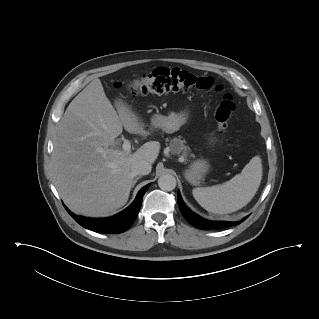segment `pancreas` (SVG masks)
<instances>
[{
  "instance_id": "obj_1",
  "label": "pancreas",
  "mask_w": 319,
  "mask_h": 319,
  "mask_svg": "<svg viewBox=\"0 0 319 319\" xmlns=\"http://www.w3.org/2000/svg\"><path fill=\"white\" fill-rule=\"evenodd\" d=\"M184 140H181L180 137L173 138L169 141V149L172 155H179L183 161H188V157H195L191 153L189 146H186Z\"/></svg>"
}]
</instances>
